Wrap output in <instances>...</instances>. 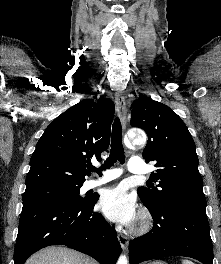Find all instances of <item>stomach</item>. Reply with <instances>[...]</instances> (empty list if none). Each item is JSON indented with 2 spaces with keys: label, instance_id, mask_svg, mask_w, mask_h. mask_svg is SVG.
<instances>
[{
  "label": "stomach",
  "instance_id": "obj_1",
  "mask_svg": "<svg viewBox=\"0 0 221 264\" xmlns=\"http://www.w3.org/2000/svg\"><path fill=\"white\" fill-rule=\"evenodd\" d=\"M150 264H166V263L165 262H162V261H154V262H152Z\"/></svg>",
  "mask_w": 221,
  "mask_h": 264
}]
</instances>
